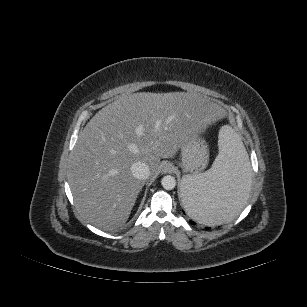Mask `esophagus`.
<instances>
[{"label":"esophagus","mask_w":307,"mask_h":307,"mask_svg":"<svg viewBox=\"0 0 307 307\" xmlns=\"http://www.w3.org/2000/svg\"><path fill=\"white\" fill-rule=\"evenodd\" d=\"M173 165L171 163H166L162 166L161 173L168 174L173 172Z\"/></svg>","instance_id":"obj_1"}]
</instances>
